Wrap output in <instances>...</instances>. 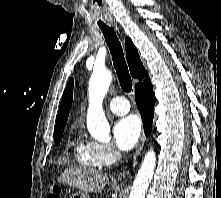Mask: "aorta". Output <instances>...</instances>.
I'll return each mask as SVG.
<instances>
[{"mask_svg":"<svg viewBox=\"0 0 221 198\" xmlns=\"http://www.w3.org/2000/svg\"><path fill=\"white\" fill-rule=\"evenodd\" d=\"M112 81V74L108 70H93L88 93L89 108L87 112V128L93 138L99 141H109L110 126L102 109L103 99ZM156 154L150 149L141 164L134 180L129 198H144L154 174Z\"/></svg>","mask_w":221,"mask_h":198,"instance_id":"1","label":"aorta"}]
</instances>
